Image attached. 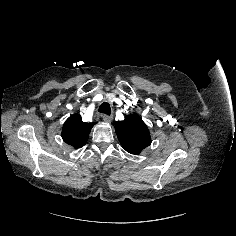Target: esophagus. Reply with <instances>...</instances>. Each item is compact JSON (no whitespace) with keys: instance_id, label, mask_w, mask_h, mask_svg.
I'll return each instance as SVG.
<instances>
[{"instance_id":"34e87169","label":"esophagus","mask_w":236,"mask_h":236,"mask_svg":"<svg viewBox=\"0 0 236 236\" xmlns=\"http://www.w3.org/2000/svg\"><path fill=\"white\" fill-rule=\"evenodd\" d=\"M113 117L112 115H103V120L107 123H110L112 121Z\"/></svg>"}]
</instances>
